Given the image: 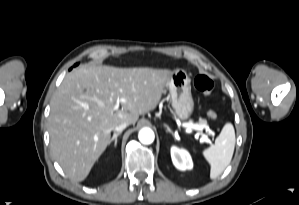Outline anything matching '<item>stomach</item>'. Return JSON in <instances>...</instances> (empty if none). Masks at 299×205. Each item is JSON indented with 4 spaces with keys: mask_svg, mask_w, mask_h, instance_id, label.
<instances>
[{
    "mask_svg": "<svg viewBox=\"0 0 299 205\" xmlns=\"http://www.w3.org/2000/svg\"><path fill=\"white\" fill-rule=\"evenodd\" d=\"M172 107L178 117L188 119L194 110L190 79L183 69H176L167 83Z\"/></svg>",
    "mask_w": 299,
    "mask_h": 205,
    "instance_id": "0dacf381",
    "label": "stomach"
}]
</instances>
